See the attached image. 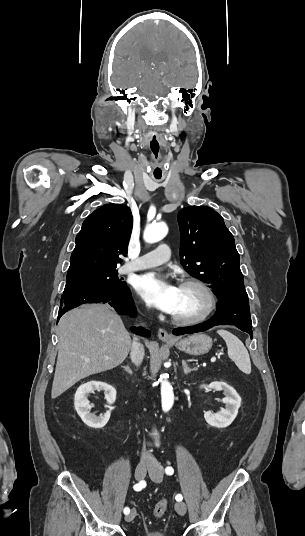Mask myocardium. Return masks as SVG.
<instances>
[{
  "label": "myocardium",
  "instance_id": "1",
  "mask_svg": "<svg viewBox=\"0 0 305 536\" xmlns=\"http://www.w3.org/2000/svg\"><path fill=\"white\" fill-rule=\"evenodd\" d=\"M180 285H194L200 288L207 296L208 306L203 313L198 314V315L182 316V315H175L172 313L171 318L173 321L180 323V324H197V323L208 320L214 315V313L218 309L219 299H218L217 293L215 292V290L210 284H208L206 281L197 277H185L181 281Z\"/></svg>",
  "mask_w": 305,
  "mask_h": 536
}]
</instances>
